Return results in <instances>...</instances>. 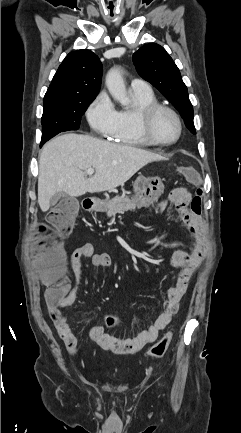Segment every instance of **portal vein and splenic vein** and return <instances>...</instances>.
Wrapping results in <instances>:
<instances>
[{"label": "portal vein and splenic vein", "instance_id": "18ae733b", "mask_svg": "<svg viewBox=\"0 0 241 433\" xmlns=\"http://www.w3.org/2000/svg\"><path fill=\"white\" fill-rule=\"evenodd\" d=\"M94 173V169L93 168H89L85 171V174L87 175H92Z\"/></svg>", "mask_w": 241, "mask_h": 433}]
</instances>
